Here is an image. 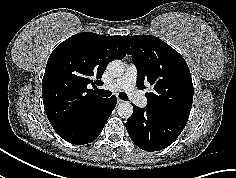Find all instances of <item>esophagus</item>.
Wrapping results in <instances>:
<instances>
[{
    "label": "esophagus",
    "mask_w": 236,
    "mask_h": 178,
    "mask_svg": "<svg viewBox=\"0 0 236 178\" xmlns=\"http://www.w3.org/2000/svg\"><path fill=\"white\" fill-rule=\"evenodd\" d=\"M117 103H118V104H122V103H124V101L121 100V99H117Z\"/></svg>",
    "instance_id": "obj_1"
}]
</instances>
